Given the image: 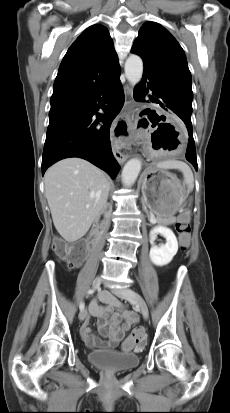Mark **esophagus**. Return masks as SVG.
<instances>
[{
  "label": "esophagus",
  "instance_id": "34e87169",
  "mask_svg": "<svg viewBox=\"0 0 230 413\" xmlns=\"http://www.w3.org/2000/svg\"><path fill=\"white\" fill-rule=\"evenodd\" d=\"M124 93H125L124 112L125 113H133L134 109L131 107V104L133 102V88H132V86L126 84L124 86ZM114 155H115L117 161L120 164L124 163L127 160V158L129 157L128 155H125V154L121 153L117 149L116 145H115Z\"/></svg>",
  "mask_w": 230,
  "mask_h": 413
}]
</instances>
